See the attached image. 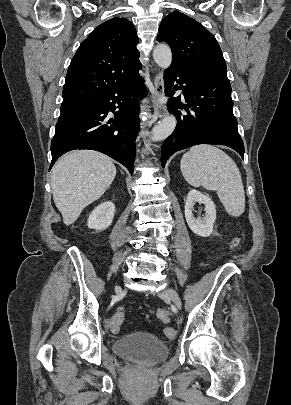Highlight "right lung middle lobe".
I'll return each instance as SVG.
<instances>
[{
	"label": "right lung middle lobe",
	"instance_id": "obj_1",
	"mask_svg": "<svg viewBox=\"0 0 291 405\" xmlns=\"http://www.w3.org/2000/svg\"><path fill=\"white\" fill-rule=\"evenodd\" d=\"M89 102H74L61 105V114L58 120L64 119L86 106Z\"/></svg>",
	"mask_w": 291,
	"mask_h": 405
}]
</instances>
